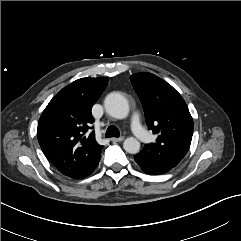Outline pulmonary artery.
Instances as JSON below:
<instances>
[{"instance_id": "e3ab8cb5", "label": "pulmonary artery", "mask_w": 241, "mask_h": 241, "mask_svg": "<svg viewBox=\"0 0 241 241\" xmlns=\"http://www.w3.org/2000/svg\"><path fill=\"white\" fill-rule=\"evenodd\" d=\"M130 126L137 140H139L142 143H147L149 141V134L142 126L138 114H134L132 116L130 120Z\"/></svg>"}]
</instances>
